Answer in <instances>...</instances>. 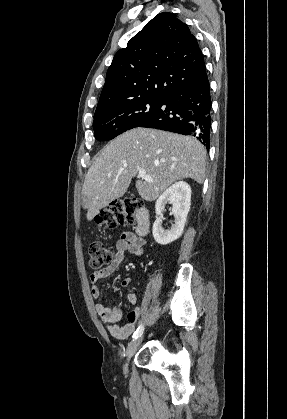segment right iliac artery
<instances>
[{
    "label": "right iliac artery",
    "mask_w": 287,
    "mask_h": 419,
    "mask_svg": "<svg viewBox=\"0 0 287 419\" xmlns=\"http://www.w3.org/2000/svg\"><path fill=\"white\" fill-rule=\"evenodd\" d=\"M143 331H144V327H143V325H140L138 328H137V330L134 332V334H133V339L135 340V339H138L141 335H142V333H143Z\"/></svg>",
    "instance_id": "right-iliac-artery-1"
}]
</instances>
